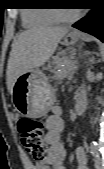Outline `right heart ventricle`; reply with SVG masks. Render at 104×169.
<instances>
[{"label":"right heart ventricle","mask_w":104,"mask_h":169,"mask_svg":"<svg viewBox=\"0 0 104 169\" xmlns=\"http://www.w3.org/2000/svg\"><path fill=\"white\" fill-rule=\"evenodd\" d=\"M22 20L27 27L47 26L56 23L51 12L46 9L24 11L22 12Z\"/></svg>","instance_id":"e07e8e85"}]
</instances>
